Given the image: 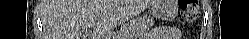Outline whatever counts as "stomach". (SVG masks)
Here are the masks:
<instances>
[{"mask_svg": "<svg viewBox=\"0 0 249 39\" xmlns=\"http://www.w3.org/2000/svg\"><path fill=\"white\" fill-rule=\"evenodd\" d=\"M152 15L161 20H170L176 15L175 0H156L151 6ZM110 39V38H109Z\"/></svg>", "mask_w": 249, "mask_h": 39, "instance_id": "0dacf381", "label": "stomach"}]
</instances>
